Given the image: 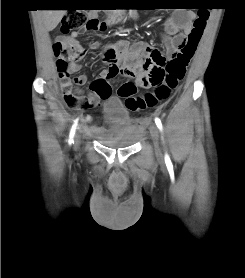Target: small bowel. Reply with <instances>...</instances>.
<instances>
[{
	"mask_svg": "<svg viewBox=\"0 0 245 278\" xmlns=\"http://www.w3.org/2000/svg\"><path fill=\"white\" fill-rule=\"evenodd\" d=\"M193 13H181L166 19L161 34V41L164 44L165 51L169 57H173L181 50L182 45L187 41L188 34L192 31ZM106 23H100L98 31L104 32L106 30ZM82 32H74L69 36L61 37L60 39L69 45L79 46L76 38ZM81 47V46H80ZM102 47L100 41H93L90 49H99ZM84 52V51H83ZM83 54V53H82ZM80 55L76 60L72 61L67 69L68 73H76L81 69L78 60L83 58ZM161 54L160 50L152 44L138 42L133 46H129L127 42H118L109 45L105 48L103 53V61L109 65L105 72H101L95 79L92 86V94L95 99V106L109 96L110 94V79L121 74L123 76L136 74L138 83L141 85L142 73L140 69L145 71L150 70L155 62L156 55ZM79 82H85L86 77L78 76ZM70 80L61 79V87L64 90L70 86ZM91 131L98 136L100 127L97 125L90 127Z\"/></svg>",
	"mask_w": 245,
	"mask_h": 278,
	"instance_id": "c3829d8e",
	"label": "small bowel"
}]
</instances>
